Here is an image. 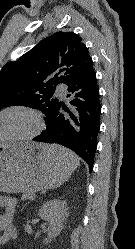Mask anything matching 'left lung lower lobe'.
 Listing matches in <instances>:
<instances>
[{
  "label": "left lung lower lobe",
  "instance_id": "1",
  "mask_svg": "<svg viewBox=\"0 0 135 249\" xmlns=\"http://www.w3.org/2000/svg\"><path fill=\"white\" fill-rule=\"evenodd\" d=\"M67 91L71 106L58 101L46 118V131L34 140L57 143L73 150L86 161L91 171L101 115L99 87L93 65L81 77L69 83Z\"/></svg>",
  "mask_w": 135,
  "mask_h": 249
}]
</instances>
